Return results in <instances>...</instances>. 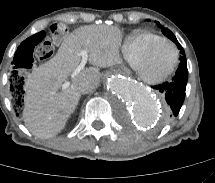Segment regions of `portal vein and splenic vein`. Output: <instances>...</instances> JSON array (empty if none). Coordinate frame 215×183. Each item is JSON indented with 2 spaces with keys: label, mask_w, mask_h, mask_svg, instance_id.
Returning a JSON list of instances; mask_svg holds the SVG:
<instances>
[{
  "label": "portal vein and splenic vein",
  "mask_w": 215,
  "mask_h": 183,
  "mask_svg": "<svg viewBox=\"0 0 215 183\" xmlns=\"http://www.w3.org/2000/svg\"><path fill=\"white\" fill-rule=\"evenodd\" d=\"M80 55L82 57L80 64L77 66V68L73 71L71 74V78H74L77 76L85 67L87 60H88V52L86 50H81ZM70 86V82L66 81L62 84V89H66Z\"/></svg>",
  "instance_id": "portal-vein-and-splenic-vein-1"
}]
</instances>
